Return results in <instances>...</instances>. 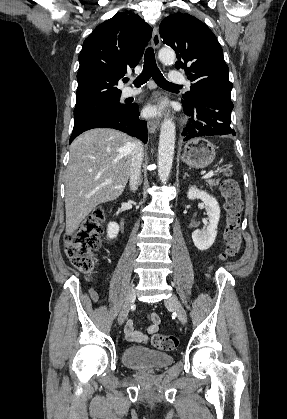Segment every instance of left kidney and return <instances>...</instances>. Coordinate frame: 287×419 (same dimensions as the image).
Masks as SVG:
<instances>
[{
	"label": "left kidney",
	"instance_id": "left-kidney-1",
	"mask_svg": "<svg viewBox=\"0 0 287 419\" xmlns=\"http://www.w3.org/2000/svg\"><path fill=\"white\" fill-rule=\"evenodd\" d=\"M189 200L200 199L205 205L209 218V225L202 230H195L192 233L194 245L201 251L209 249L217 236V226L220 219V207L217 200L207 192L190 187L187 193Z\"/></svg>",
	"mask_w": 287,
	"mask_h": 419
}]
</instances>
